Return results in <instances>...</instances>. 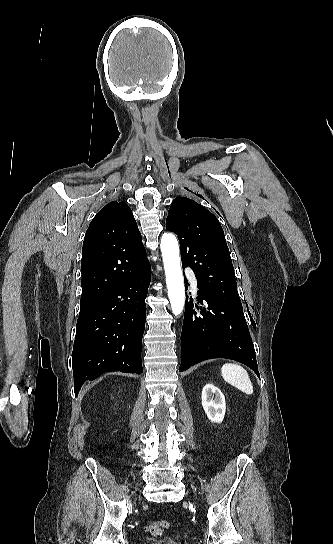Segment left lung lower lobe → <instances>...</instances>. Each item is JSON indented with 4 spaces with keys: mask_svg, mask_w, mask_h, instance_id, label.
Returning <instances> with one entry per match:
<instances>
[{
    "mask_svg": "<svg viewBox=\"0 0 333 544\" xmlns=\"http://www.w3.org/2000/svg\"><path fill=\"white\" fill-rule=\"evenodd\" d=\"M197 288V304L186 297L179 371L206 359L227 358L247 365L260 378L244 313L198 282Z\"/></svg>",
    "mask_w": 333,
    "mask_h": 544,
    "instance_id": "1",
    "label": "left lung lower lobe"
}]
</instances>
